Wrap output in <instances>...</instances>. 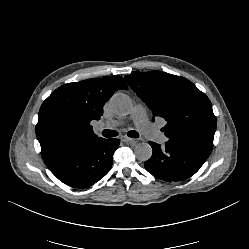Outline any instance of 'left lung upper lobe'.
Segmentation results:
<instances>
[{
    "mask_svg": "<svg viewBox=\"0 0 249 249\" xmlns=\"http://www.w3.org/2000/svg\"><path fill=\"white\" fill-rule=\"evenodd\" d=\"M125 80L154 117L167 121L161 131L168 142L212 151L216 117L208 97L192 82L162 71L126 75Z\"/></svg>",
    "mask_w": 249,
    "mask_h": 249,
    "instance_id": "left-lung-upper-lobe-1",
    "label": "left lung upper lobe"
}]
</instances>
